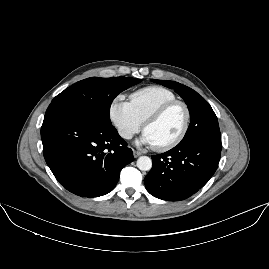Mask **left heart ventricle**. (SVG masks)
I'll use <instances>...</instances> for the list:
<instances>
[{"instance_id": "b2bd125f", "label": "left heart ventricle", "mask_w": 269, "mask_h": 269, "mask_svg": "<svg viewBox=\"0 0 269 269\" xmlns=\"http://www.w3.org/2000/svg\"><path fill=\"white\" fill-rule=\"evenodd\" d=\"M185 121V113L180 106H174L160 117L151 121L145 134L153 146H163L174 140L181 132Z\"/></svg>"}]
</instances>
